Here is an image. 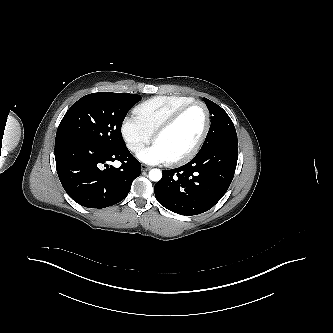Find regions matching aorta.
<instances>
[{"instance_id": "1", "label": "aorta", "mask_w": 333, "mask_h": 333, "mask_svg": "<svg viewBox=\"0 0 333 333\" xmlns=\"http://www.w3.org/2000/svg\"><path fill=\"white\" fill-rule=\"evenodd\" d=\"M161 178H162V172H161L160 169L155 168V169H151V170L149 171V179H150L151 181L157 182V181H159Z\"/></svg>"}]
</instances>
